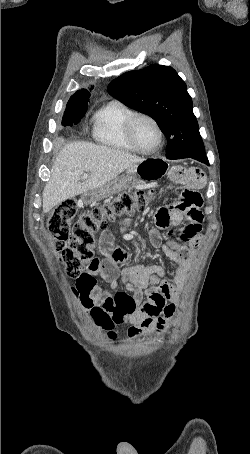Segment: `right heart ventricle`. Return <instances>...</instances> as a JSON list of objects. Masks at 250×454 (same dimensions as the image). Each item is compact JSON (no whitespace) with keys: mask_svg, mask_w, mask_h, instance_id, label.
<instances>
[{"mask_svg":"<svg viewBox=\"0 0 250 454\" xmlns=\"http://www.w3.org/2000/svg\"><path fill=\"white\" fill-rule=\"evenodd\" d=\"M136 112L124 103L113 100L102 106L93 116L94 139L109 148L136 152L126 136L128 119Z\"/></svg>","mask_w":250,"mask_h":454,"instance_id":"obj_1","label":"right heart ventricle"}]
</instances>
